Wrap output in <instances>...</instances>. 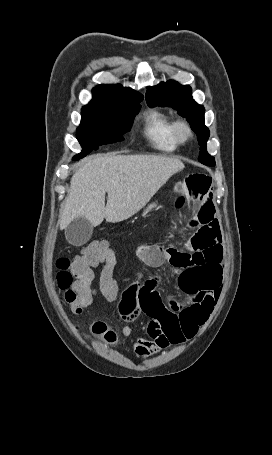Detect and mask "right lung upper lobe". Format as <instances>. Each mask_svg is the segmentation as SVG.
Returning <instances> with one entry per match:
<instances>
[{
	"mask_svg": "<svg viewBox=\"0 0 272 455\" xmlns=\"http://www.w3.org/2000/svg\"><path fill=\"white\" fill-rule=\"evenodd\" d=\"M92 101L82 109L86 110H116L131 102L143 99V96L131 88L120 84H102L93 88Z\"/></svg>",
	"mask_w": 272,
	"mask_h": 455,
	"instance_id": "1",
	"label": "right lung upper lobe"
}]
</instances>
